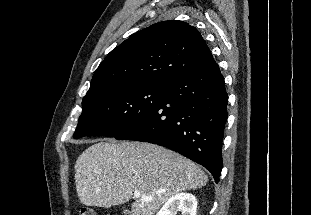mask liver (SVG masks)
<instances>
[{
    "instance_id": "6515ba94",
    "label": "liver",
    "mask_w": 311,
    "mask_h": 215,
    "mask_svg": "<svg viewBox=\"0 0 311 215\" xmlns=\"http://www.w3.org/2000/svg\"><path fill=\"white\" fill-rule=\"evenodd\" d=\"M208 176L194 162L163 147L140 142H98L76 160L77 195L85 206L110 208L136 198L132 215H154L170 197L201 188Z\"/></svg>"
}]
</instances>
